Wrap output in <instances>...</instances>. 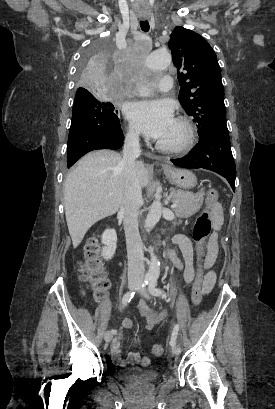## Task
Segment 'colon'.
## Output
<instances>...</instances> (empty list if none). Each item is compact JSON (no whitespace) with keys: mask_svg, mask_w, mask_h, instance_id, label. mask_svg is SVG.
Listing matches in <instances>:
<instances>
[{"mask_svg":"<svg viewBox=\"0 0 275 409\" xmlns=\"http://www.w3.org/2000/svg\"><path fill=\"white\" fill-rule=\"evenodd\" d=\"M218 198V191L210 189L207 192L206 208L198 215L194 225L193 238L196 242L197 255V274L194 282L192 303L194 305L200 304L204 297L207 284L204 282L205 272L202 267V259L205 254V245L207 238L211 232V215L210 209L216 203ZM100 250L101 245L97 237L89 238L84 247V258L80 264V280L87 283L90 289L96 294L100 295L109 287V280L106 274L102 271L100 265ZM164 345L162 342H155L153 344V357L162 358Z\"/></svg>","mask_w":275,"mask_h":409,"instance_id":"obj_1","label":"colon"}]
</instances>
